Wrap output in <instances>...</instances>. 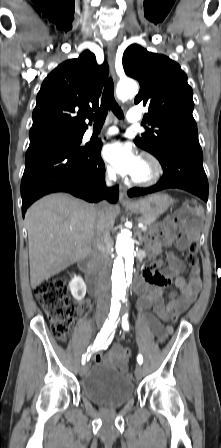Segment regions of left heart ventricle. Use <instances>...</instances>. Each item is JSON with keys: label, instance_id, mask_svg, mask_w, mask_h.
I'll list each match as a JSON object with an SVG mask.
<instances>
[{"label": "left heart ventricle", "instance_id": "obj_1", "mask_svg": "<svg viewBox=\"0 0 221 448\" xmlns=\"http://www.w3.org/2000/svg\"><path fill=\"white\" fill-rule=\"evenodd\" d=\"M148 173H149V166L145 162L141 161V166L135 177H142L147 175Z\"/></svg>", "mask_w": 221, "mask_h": 448}]
</instances>
